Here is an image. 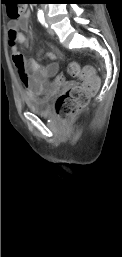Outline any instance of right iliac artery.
<instances>
[{
	"mask_svg": "<svg viewBox=\"0 0 122 257\" xmlns=\"http://www.w3.org/2000/svg\"><path fill=\"white\" fill-rule=\"evenodd\" d=\"M38 20L40 21V23H41L42 25L47 26V24H46V22H45V18H44L43 12H39V13H38Z\"/></svg>",
	"mask_w": 122,
	"mask_h": 257,
	"instance_id": "82829eb1",
	"label": "right iliac artery"
}]
</instances>
